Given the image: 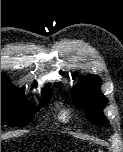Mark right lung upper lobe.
Listing matches in <instances>:
<instances>
[{"label": "right lung upper lobe", "instance_id": "cb5924a9", "mask_svg": "<svg viewBox=\"0 0 123 152\" xmlns=\"http://www.w3.org/2000/svg\"><path fill=\"white\" fill-rule=\"evenodd\" d=\"M1 78H2V80H3L2 86H1L2 88L11 89V90L17 92L18 94L22 95L17 89L12 88V87L10 86V84H9V82H8V79H7L6 77H1ZM49 94H51L50 90H49L48 88L44 89L43 95H49Z\"/></svg>", "mask_w": 123, "mask_h": 152}]
</instances>
